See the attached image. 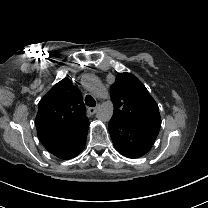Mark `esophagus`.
<instances>
[{
	"label": "esophagus",
	"mask_w": 208,
	"mask_h": 208,
	"mask_svg": "<svg viewBox=\"0 0 208 208\" xmlns=\"http://www.w3.org/2000/svg\"><path fill=\"white\" fill-rule=\"evenodd\" d=\"M99 108H100V104H98L95 107H89V108H87V113L89 115H93V114H95L99 110Z\"/></svg>",
	"instance_id": "obj_1"
}]
</instances>
